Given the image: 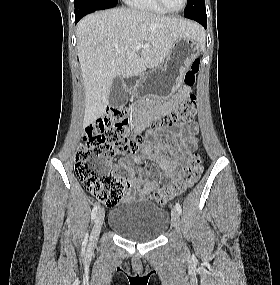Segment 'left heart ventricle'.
<instances>
[{
	"mask_svg": "<svg viewBox=\"0 0 280 285\" xmlns=\"http://www.w3.org/2000/svg\"><path fill=\"white\" fill-rule=\"evenodd\" d=\"M164 2L166 6L171 10H177L183 4V0H164Z\"/></svg>",
	"mask_w": 280,
	"mask_h": 285,
	"instance_id": "left-heart-ventricle-1",
	"label": "left heart ventricle"
}]
</instances>
